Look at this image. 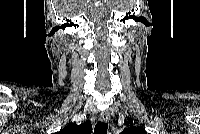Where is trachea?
Returning <instances> with one entry per match:
<instances>
[{"instance_id": "obj_1", "label": "trachea", "mask_w": 200, "mask_h": 134, "mask_svg": "<svg viewBox=\"0 0 200 134\" xmlns=\"http://www.w3.org/2000/svg\"><path fill=\"white\" fill-rule=\"evenodd\" d=\"M108 129V124L104 122H98L94 129V134H106Z\"/></svg>"}]
</instances>
